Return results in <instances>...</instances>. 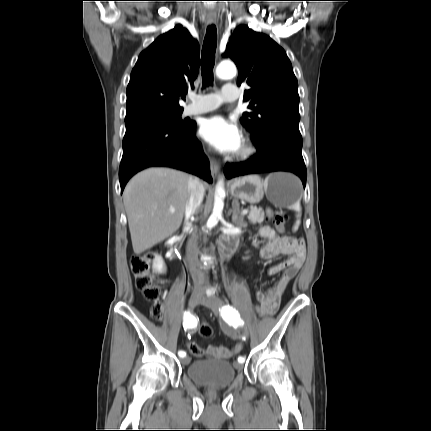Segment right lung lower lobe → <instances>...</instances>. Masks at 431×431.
I'll list each match as a JSON object with an SVG mask.
<instances>
[{
	"label": "right lung lower lobe",
	"mask_w": 431,
	"mask_h": 431,
	"mask_svg": "<svg viewBox=\"0 0 431 431\" xmlns=\"http://www.w3.org/2000/svg\"><path fill=\"white\" fill-rule=\"evenodd\" d=\"M195 128L191 121L182 126L152 122L126 129L119 170L121 193L134 174L153 166L183 170L212 182Z\"/></svg>",
	"instance_id": "1"
}]
</instances>
